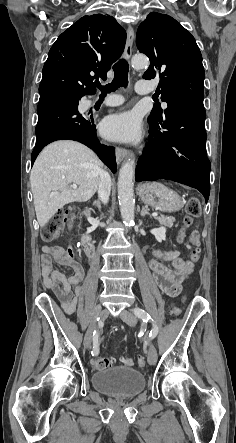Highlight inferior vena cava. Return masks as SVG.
I'll return each mask as SVG.
<instances>
[{
  "mask_svg": "<svg viewBox=\"0 0 236 443\" xmlns=\"http://www.w3.org/2000/svg\"><path fill=\"white\" fill-rule=\"evenodd\" d=\"M111 191V177L105 170L101 171L99 184H98V196L99 199L107 204Z\"/></svg>",
  "mask_w": 236,
  "mask_h": 443,
  "instance_id": "inferior-vena-cava-1",
  "label": "inferior vena cava"
}]
</instances>
